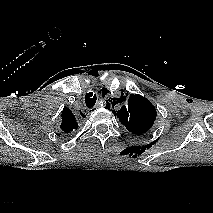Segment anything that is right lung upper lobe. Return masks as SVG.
Here are the masks:
<instances>
[{"label":"right lung upper lobe","mask_w":213,"mask_h":213,"mask_svg":"<svg viewBox=\"0 0 213 213\" xmlns=\"http://www.w3.org/2000/svg\"><path fill=\"white\" fill-rule=\"evenodd\" d=\"M62 123L60 125V129L64 134L69 135L71 132L77 129L78 124L76 122L75 116L72 111L68 108H64L62 114Z\"/></svg>","instance_id":"cb5924a9"}]
</instances>
